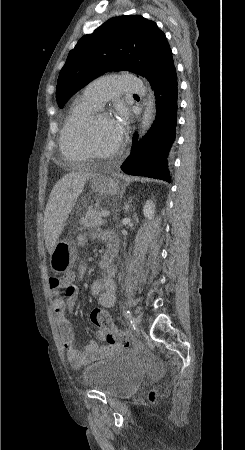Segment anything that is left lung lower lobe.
I'll list each match as a JSON object with an SVG mask.
<instances>
[{
	"label": "left lung lower lobe",
	"instance_id": "left-lung-lower-lobe-1",
	"mask_svg": "<svg viewBox=\"0 0 245 450\" xmlns=\"http://www.w3.org/2000/svg\"><path fill=\"white\" fill-rule=\"evenodd\" d=\"M156 98L155 121L139 144L133 137L130 156L121 169L130 175L147 176L170 182L167 156L175 137L177 121V75L173 59L149 79Z\"/></svg>",
	"mask_w": 245,
	"mask_h": 450
}]
</instances>
